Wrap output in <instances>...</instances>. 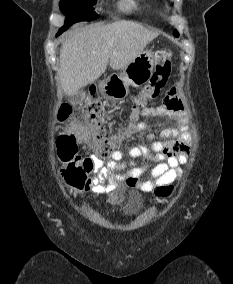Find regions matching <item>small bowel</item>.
<instances>
[{"mask_svg": "<svg viewBox=\"0 0 233 284\" xmlns=\"http://www.w3.org/2000/svg\"><path fill=\"white\" fill-rule=\"evenodd\" d=\"M185 104L178 95L176 87H171L161 103L145 107L142 115L167 118L179 122L176 128L164 129L161 133L162 140L153 141L152 129L145 123L135 124V128L145 131L147 138L153 143L150 148L137 145L129 151L125 158L123 152L116 150L109 155L106 161L97 156L90 159L93 162L94 175L86 181L81 188L84 191L104 192L116 189L120 183L126 182L145 192L152 191L155 187L165 186L182 177V167L187 163L190 154L189 136L186 125L182 122ZM75 130L82 141L88 138V132L82 125H76ZM151 157L156 164L137 165L135 159ZM149 173L151 179L145 177Z\"/></svg>", "mask_w": 233, "mask_h": 284, "instance_id": "1", "label": "small bowel"}]
</instances>
